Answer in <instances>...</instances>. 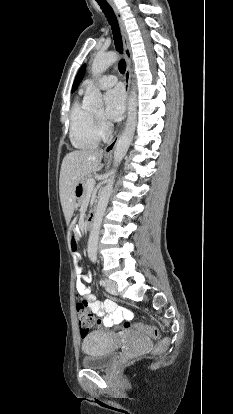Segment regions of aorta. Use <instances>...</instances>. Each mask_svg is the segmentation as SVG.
<instances>
[{"instance_id": "762f6f07", "label": "aorta", "mask_w": 233, "mask_h": 414, "mask_svg": "<svg viewBox=\"0 0 233 414\" xmlns=\"http://www.w3.org/2000/svg\"><path fill=\"white\" fill-rule=\"evenodd\" d=\"M115 52L98 53L92 63L91 72L94 77L100 76L118 59ZM84 106L88 108H101L103 106L102 94L97 87L90 89L84 96ZM137 122V93L136 87L133 86L128 100V117L122 135L117 141L114 151L113 169L109 173L106 186L103 188L97 208L94 214L93 226L88 241V257L91 261L97 258V245L99 239V231L102 219L109 202V198L113 191L114 178L116 169L126 155L128 148L132 142Z\"/></svg>"}]
</instances>
